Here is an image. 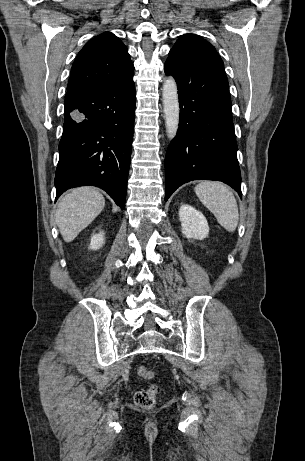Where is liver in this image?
<instances>
[{
  "mask_svg": "<svg viewBox=\"0 0 305 461\" xmlns=\"http://www.w3.org/2000/svg\"><path fill=\"white\" fill-rule=\"evenodd\" d=\"M105 205L102 194L91 187L73 189L57 206L56 223L65 242H72L101 213Z\"/></svg>",
  "mask_w": 305,
  "mask_h": 461,
  "instance_id": "obj_1",
  "label": "liver"
}]
</instances>
